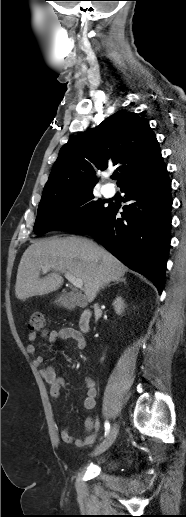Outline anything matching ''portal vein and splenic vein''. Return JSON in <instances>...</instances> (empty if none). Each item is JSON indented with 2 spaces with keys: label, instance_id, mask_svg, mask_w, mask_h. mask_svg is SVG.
<instances>
[{
  "label": "portal vein and splenic vein",
  "instance_id": "1",
  "mask_svg": "<svg viewBox=\"0 0 186 517\" xmlns=\"http://www.w3.org/2000/svg\"><path fill=\"white\" fill-rule=\"evenodd\" d=\"M51 268L50 267H43L42 268V271L43 272H48ZM65 278L71 283L73 284L76 288H82L83 286V281L82 279L80 278H76L75 276H73L72 274L66 272L65 273Z\"/></svg>",
  "mask_w": 186,
  "mask_h": 517
}]
</instances>
